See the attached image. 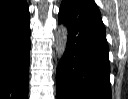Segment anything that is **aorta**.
<instances>
[{
  "label": "aorta",
  "mask_w": 128,
  "mask_h": 99,
  "mask_svg": "<svg viewBox=\"0 0 128 99\" xmlns=\"http://www.w3.org/2000/svg\"><path fill=\"white\" fill-rule=\"evenodd\" d=\"M68 40V29L65 24L59 25L55 33V49L58 59H61L65 53Z\"/></svg>",
  "instance_id": "762f6f07"
}]
</instances>
